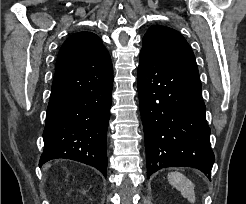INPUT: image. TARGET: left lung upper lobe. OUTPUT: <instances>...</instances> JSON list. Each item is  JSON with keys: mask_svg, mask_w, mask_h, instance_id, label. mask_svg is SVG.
I'll list each match as a JSON object with an SVG mask.
<instances>
[{"mask_svg": "<svg viewBox=\"0 0 246 204\" xmlns=\"http://www.w3.org/2000/svg\"><path fill=\"white\" fill-rule=\"evenodd\" d=\"M140 54L167 65L198 72L195 56L185 38L166 26L154 25L148 29Z\"/></svg>", "mask_w": 246, "mask_h": 204, "instance_id": "5c2ea615", "label": "left lung upper lobe"}]
</instances>
